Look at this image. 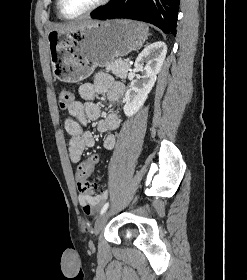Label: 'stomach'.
<instances>
[{
	"mask_svg": "<svg viewBox=\"0 0 247 280\" xmlns=\"http://www.w3.org/2000/svg\"><path fill=\"white\" fill-rule=\"evenodd\" d=\"M148 36L146 24L133 20L97 21L73 32L47 34L54 76L75 83L87 78L96 67L138 50Z\"/></svg>",
	"mask_w": 247,
	"mask_h": 280,
	"instance_id": "0dacf381",
	"label": "stomach"
}]
</instances>
